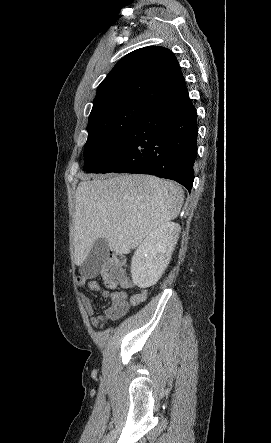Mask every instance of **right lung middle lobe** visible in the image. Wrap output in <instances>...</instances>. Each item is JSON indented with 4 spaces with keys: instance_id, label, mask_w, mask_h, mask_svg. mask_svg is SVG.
<instances>
[{
    "instance_id": "dd1d6c3e",
    "label": "right lung middle lobe",
    "mask_w": 271,
    "mask_h": 443,
    "mask_svg": "<svg viewBox=\"0 0 271 443\" xmlns=\"http://www.w3.org/2000/svg\"><path fill=\"white\" fill-rule=\"evenodd\" d=\"M151 104L143 99H123L92 109L88 122V139L84 147V171L93 172L107 162Z\"/></svg>"
}]
</instances>
